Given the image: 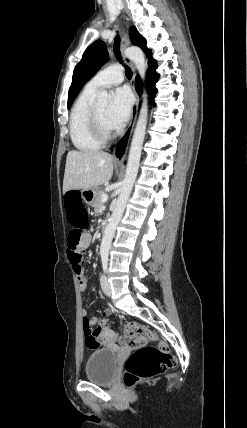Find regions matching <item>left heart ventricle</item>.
I'll use <instances>...</instances> for the list:
<instances>
[{
  "label": "left heart ventricle",
  "mask_w": 247,
  "mask_h": 428,
  "mask_svg": "<svg viewBox=\"0 0 247 428\" xmlns=\"http://www.w3.org/2000/svg\"><path fill=\"white\" fill-rule=\"evenodd\" d=\"M108 105L107 104H101L96 106L97 114L100 120L101 125L106 130H112L110 126L108 125L107 119H106V113H107Z\"/></svg>",
  "instance_id": "obj_1"
}]
</instances>
